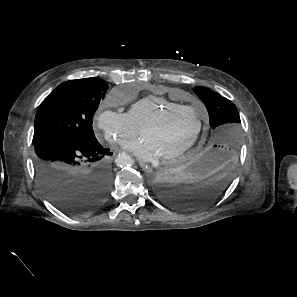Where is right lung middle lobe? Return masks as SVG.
Returning a JSON list of instances; mask_svg holds the SVG:
<instances>
[{
	"instance_id": "1",
	"label": "right lung middle lobe",
	"mask_w": 297,
	"mask_h": 297,
	"mask_svg": "<svg viewBox=\"0 0 297 297\" xmlns=\"http://www.w3.org/2000/svg\"><path fill=\"white\" fill-rule=\"evenodd\" d=\"M108 85L99 78L71 80L56 87L40 104L33 142L49 136H70L95 143L92 120Z\"/></svg>"
}]
</instances>
